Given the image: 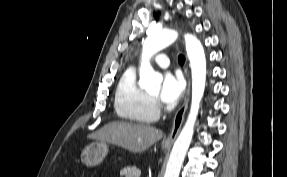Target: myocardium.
Wrapping results in <instances>:
<instances>
[{
	"instance_id": "myocardium-1",
	"label": "myocardium",
	"mask_w": 287,
	"mask_h": 177,
	"mask_svg": "<svg viewBox=\"0 0 287 177\" xmlns=\"http://www.w3.org/2000/svg\"><path fill=\"white\" fill-rule=\"evenodd\" d=\"M155 100H157V96L151 95Z\"/></svg>"
}]
</instances>
